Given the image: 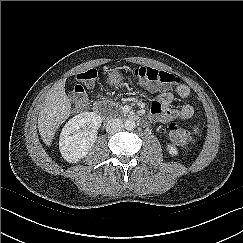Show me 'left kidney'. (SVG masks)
I'll return each instance as SVG.
<instances>
[{"mask_svg":"<svg viewBox=\"0 0 243 243\" xmlns=\"http://www.w3.org/2000/svg\"><path fill=\"white\" fill-rule=\"evenodd\" d=\"M167 151L172 156H176L178 154L177 148L174 145H171V144L167 145Z\"/></svg>","mask_w":243,"mask_h":243,"instance_id":"1","label":"left kidney"}]
</instances>
